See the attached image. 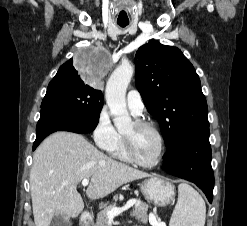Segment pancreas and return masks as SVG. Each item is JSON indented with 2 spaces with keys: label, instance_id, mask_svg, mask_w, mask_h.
Segmentation results:
<instances>
[{
  "label": "pancreas",
  "instance_id": "cf45deb5",
  "mask_svg": "<svg viewBox=\"0 0 247 226\" xmlns=\"http://www.w3.org/2000/svg\"><path fill=\"white\" fill-rule=\"evenodd\" d=\"M116 207V204L108 206L106 209L98 213L95 226H108L109 219L107 218V212ZM148 206L144 203H137L135 209L130 213L132 217L143 223L148 221Z\"/></svg>",
  "mask_w": 247,
  "mask_h": 226
}]
</instances>
